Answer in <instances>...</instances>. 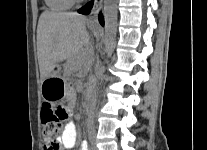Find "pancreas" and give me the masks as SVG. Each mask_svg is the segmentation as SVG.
<instances>
[{
	"label": "pancreas",
	"mask_w": 207,
	"mask_h": 150,
	"mask_svg": "<svg viewBox=\"0 0 207 150\" xmlns=\"http://www.w3.org/2000/svg\"><path fill=\"white\" fill-rule=\"evenodd\" d=\"M91 55L89 53L83 52L80 56L74 59V69L81 70L86 67L90 62ZM67 74V72L65 73Z\"/></svg>",
	"instance_id": "1"
}]
</instances>
